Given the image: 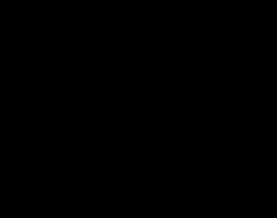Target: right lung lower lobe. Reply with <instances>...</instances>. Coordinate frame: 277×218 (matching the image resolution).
Here are the masks:
<instances>
[{
  "label": "right lung lower lobe",
  "instance_id": "obj_1",
  "mask_svg": "<svg viewBox=\"0 0 277 218\" xmlns=\"http://www.w3.org/2000/svg\"><path fill=\"white\" fill-rule=\"evenodd\" d=\"M89 151H90V147H85L78 153V155L81 153L88 154ZM115 172H116V167L114 163H112L109 160V167L107 169H103L102 167L99 168L98 166L97 167L95 166L94 168L87 171L86 179L91 182H95L97 184L103 183L107 179V177L112 176V174H114Z\"/></svg>",
  "mask_w": 277,
  "mask_h": 218
}]
</instances>
